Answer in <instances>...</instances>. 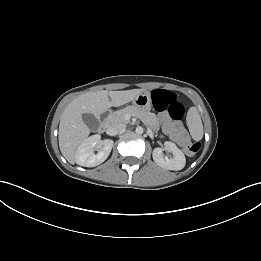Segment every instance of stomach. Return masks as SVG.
<instances>
[{"mask_svg": "<svg viewBox=\"0 0 261 261\" xmlns=\"http://www.w3.org/2000/svg\"><path fill=\"white\" fill-rule=\"evenodd\" d=\"M133 105L144 111H149L152 107V99L150 92L145 91L135 97L132 101Z\"/></svg>", "mask_w": 261, "mask_h": 261, "instance_id": "stomach-1", "label": "stomach"}]
</instances>
